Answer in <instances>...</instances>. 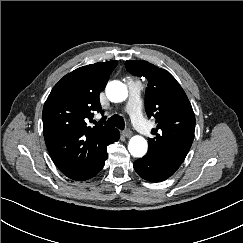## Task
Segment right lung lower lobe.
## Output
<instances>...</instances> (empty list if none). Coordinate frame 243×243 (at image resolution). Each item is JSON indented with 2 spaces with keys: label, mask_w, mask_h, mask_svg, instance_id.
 <instances>
[{
  "label": "right lung lower lobe",
  "mask_w": 243,
  "mask_h": 243,
  "mask_svg": "<svg viewBox=\"0 0 243 243\" xmlns=\"http://www.w3.org/2000/svg\"><path fill=\"white\" fill-rule=\"evenodd\" d=\"M119 139V132L114 133L110 140L108 141L106 147ZM105 149L102 153L96 158L94 162H92L88 167L78 170V171H68V170H61L67 177L77 180V181H84L94 177L104 166L105 160L107 159V150Z\"/></svg>",
  "instance_id": "right-lung-lower-lobe-1"
}]
</instances>
